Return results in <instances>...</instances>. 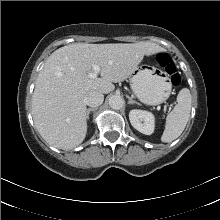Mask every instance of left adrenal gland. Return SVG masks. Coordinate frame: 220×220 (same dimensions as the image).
Instances as JSON below:
<instances>
[{
	"instance_id": "1",
	"label": "left adrenal gland",
	"mask_w": 220,
	"mask_h": 220,
	"mask_svg": "<svg viewBox=\"0 0 220 220\" xmlns=\"http://www.w3.org/2000/svg\"><path fill=\"white\" fill-rule=\"evenodd\" d=\"M127 98H128V100H129V101H128L129 104H137V105H141L139 102L133 100L130 96H127Z\"/></svg>"
}]
</instances>
